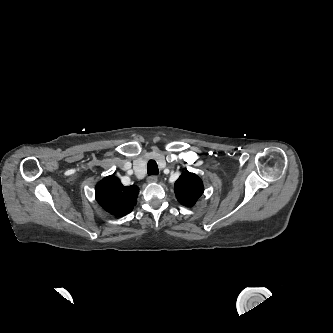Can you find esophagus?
<instances>
[{
  "mask_svg": "<svg viewBox=\"0 0 333 333\" xmlns=\"http://www.w3.org/2000/svg\"><path fill=\"white\" fill-rule=\"evenodd\" d=\"M158 181V177L155 175H151L147 178L148 183H156Z\"/></svg>",
  "mask_w": 333,
  "mask_h": 333,
  "instance_id": "obj_1",
  "label": "esophagus"
}]
</instances>
